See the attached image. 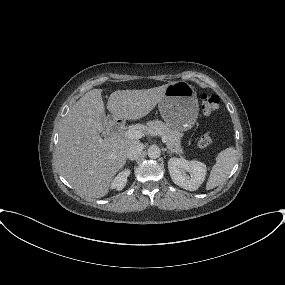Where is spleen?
I'll return each instance as SVG.
<instances>
[{"label": "spleen", "instance_id": "spleen-1", "mask_svg": "<svg viewBox=\"0 0 285 285\" xmlns=\"http://www.w3.org/2000/svg\"><path fill=\"white\" fill-rule=\"evenodd\" d=\"M236 160L237 152L234 147H228L221 151L216 158V164L211 169L206 189L211 190L225 181Z\"/></svg>", "mask_w": 285, "mask_h": 285}]
</instances>
